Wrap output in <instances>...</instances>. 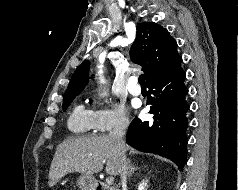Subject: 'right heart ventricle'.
<instances>
[{
  "instance_id": "right-heart-ventricle-1",
  "label": "right heart ventricle",
  "mask_w": 238,
  "mask_h": 190,
  "mask_svg": "<svg viewBox=\"0 0 238 190\" xmlns=\"http://www.w3.org/2000/svg\"><path fill=\"white\" fill-rule=\"evenodd\" d=\"M67 125L73 133L88 132L92 128L90 111L83 105H76L68 118Z\"/></svg>"
}]
</instances>
